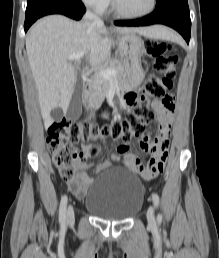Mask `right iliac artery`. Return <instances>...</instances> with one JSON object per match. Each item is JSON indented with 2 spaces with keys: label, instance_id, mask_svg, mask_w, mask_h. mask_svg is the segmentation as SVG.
Here are the masks:
<instances>
[{
  "label": "right iliac artery",
  "instance_id": "right-iliac-artery-1",
  "mask_svg": "<svg viewBox=\"0 0 219 258\" xmlns=\"http://www.w3.org/2000/svg\"><path fill=\"white\" fill-rule=\"evenodd\" d=\"M67 196L64 195L61 198V202H60V208H59V221L61 223H65L66 220V206H67Z\"/></svg>",
  "mask_w": 219,
  "mask_h": 258
}]
</instances>
